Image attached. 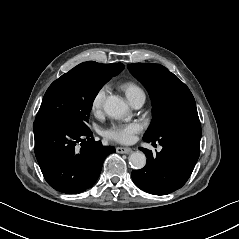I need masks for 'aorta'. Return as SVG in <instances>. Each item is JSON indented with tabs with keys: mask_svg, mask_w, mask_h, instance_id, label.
I'll return each instance as SVG.
<instances>
[{
	"mask_svg": "<svg viewBox=\"0 0 239 239\" xmlns=\"http://www.w3.org/2000/svg\"><path fill=\"white\" fill-rule=\"evenodd\" d=\"M104 111L106 114L114 119H123L130 116V108L118 96H108L105 104ZM129 161L133 168L142 169L146 164V156L142 152H133L129 156Z\"/></svg>",
	"mask_w": 239,
	"mask_h": 239,
	"instance_id": "762f6f07",
	"label": "aorta"
}]
</instances>
